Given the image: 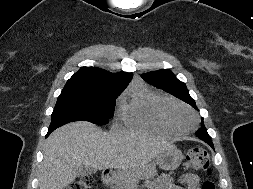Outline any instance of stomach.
Instances as JSON below:
<instances>
[{
  "label": "stomach",
  "instance_id": "0dacf381",
  "mask_svg": "<svg viewBox=\"0 0 253 189\" xmlns=\"http://www.w3.org/2000/svg\"><path fill=\"white\" fill-rule=\"evenodd\" d=\"M182 159V152L174 147L158 155L155 162L163 170H175L181 164Z\"/></svg>",
  "mask_w": 253,
  "mask_h": 189
}]
</instances>
